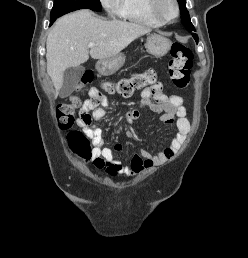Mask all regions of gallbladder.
I'll list each match as a JSON object with an SVG mask.
<instances>
[{
    "mask_svg": "<svg viewBox=\"0 0 248 258\" xmlns=\"http://www.w3.org/2000/svg\"><path fill=\"white\" fill-rule=\"evenodd\" d=\"M85 68L83 66L71 67L63 73V83L59 90L61 98L69 96L77 87Z\"/></svg>",
    "mask_w": 248,
    "mask_h": 258,
    "instance_id": "bac80fb5",
    "label": "gallbladder"
}]
</instances>
